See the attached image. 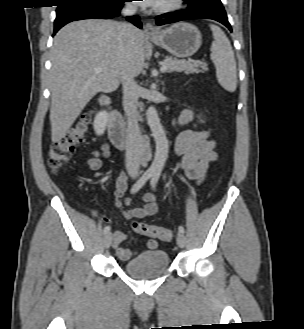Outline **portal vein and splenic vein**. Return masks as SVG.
Returning <instances> with one entry per match:
<instances>
[{"instance_id": "obj_1", "label": "portal vein and splenic vein", "mask_w": 304, "mask_h": 329, "mask_svg": "<svg viewBox=\"0 0 304 329\" xmlns=\"http://www.w3.org/2000/svg\"><path fill=\"white\" fill-rule=\"evenodd\" d=\"M160 70H161V72H165L167 70V66L165 64H163ZM95 71L96 72H101V69L96 68Z\"/></svg>"}]
</instances>
